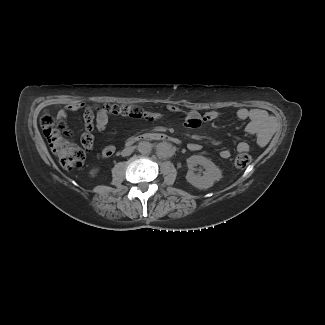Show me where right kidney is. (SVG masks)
Instances as JSON below:
<instances>
[{"instance_id":"ca27d5eb","label":"right kidney","mask_w":325,"mask_h":325,"mask_svg":"<svg viewBox=\"0 0 325 325\" xmlns=\"http://www.w3.org/2000/svg\"><path fill=\"white\" fill-rule=\"evenodd\" d=\"M97 172H98V168L92 169V170L90 171V175H91L92 177H94V176L97 174Z\"/></svg>"}]
</instances>
